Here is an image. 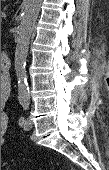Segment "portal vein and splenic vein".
Wrapping results in <instances>:
<instances>
[{"label": "portal vein and splenic vein", "instance_id": "portal-vein-and-splenic-vein-1", "mask_svg": "<svg viewBox=\"0 0 109 170\" xmlns=\"http://www.w3.org/2000/svg\"><path fill=\"white\" fill-rule=\"evenodd\" d=\"M3 18H6V15H2Z\"/></svg>", "mask_w": 109, "mask_h": 170}]
</instances>
